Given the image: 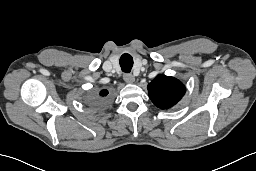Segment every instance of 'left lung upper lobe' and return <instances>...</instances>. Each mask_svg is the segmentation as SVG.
<instances>
[{
    "instance_id": "left-lung-upper-lobe-1",
    "label": "left lung upper lobe",
    "mask_w": 256,
    "mask_h": 171,
    "mask_svg": "<svg viewBox=\"0 0 256 171\" xmlns=\"http://www.w3.org/2000/svg\"><path fill=\"white\" fill-rule=\"evenodd\" d=\"M151 101L159 108L167 109L175 105L186 92L185 86L178 79L165 75H158L148 84Z\"/></svg>"
}]
</instances>
